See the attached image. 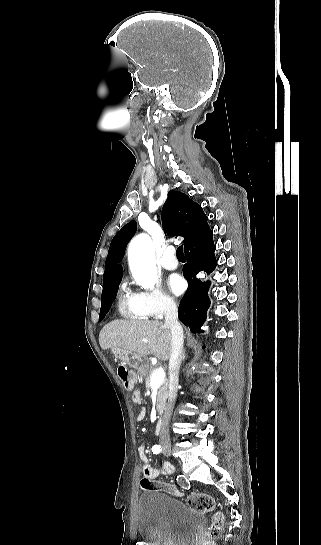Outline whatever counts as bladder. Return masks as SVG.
<instances>
[{
    "mask_svg": "<svg viewBox=\"0 0 321 545\" xmlns=\"http://www.w3.org/2000/svg\"><path fill=\"white\" fill-rule=\"evenodd\" d=\"M202 512L162 490H147L137 502V528L149 545H192L205 528Z\"/></svg>",
    "mask_w": 321,
    "mask_h": 545,
    "instance_id": "obj_1",
    "label": "bladder"
}]
</instances>
